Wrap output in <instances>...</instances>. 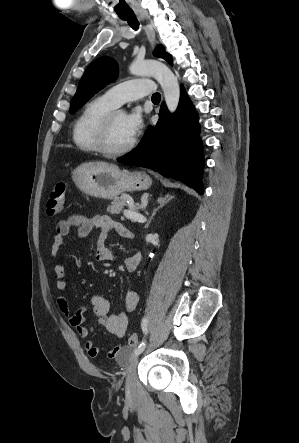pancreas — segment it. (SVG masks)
I'll return each mask as SVG.
<instances>
[{
    "instance_id": "1",
    "label": "pancreas",
    "mask_w": 299,
    "mask_h": 443,
    "mask_svg": "<svg viewBox=\"0 0 299 443\" xmlns=\"http://www.w3.org/2000/svg\"><path fill=\"white\" fill-rule=\"evenodd\" d=\"M133 203V200L128 195H122L121 197H117L114 201L111 202V205L108 206L107 211L112 215L119 214L124 206H129ZM139 208L138 204L132 205V209L136 212Z\"/></svg>"
}]
</instances>
